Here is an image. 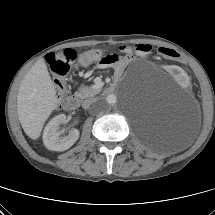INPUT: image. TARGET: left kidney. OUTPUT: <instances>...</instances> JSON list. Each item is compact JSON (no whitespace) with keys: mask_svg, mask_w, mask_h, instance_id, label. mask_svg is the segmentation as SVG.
Here are the masks:
<instances>
[{"mask_svg":"<svg viewBox=\"0 0 215 215\" xmlns=\"http://www.w3.org/2000/svg\"><path fill=\"white\" fill-rule=\"evenodd\" d=\"M169 72L171 75L176 77L182 85L188 88H191L194 86L195 84L194 79L190 77L187 72L182 71V69L179 68L178 66L176 65L171 66L169 69Z\"/></svg>","mask_w":215,"mask_h":215,"instance_id":"1","label":"left kidney"}]
</instances>
